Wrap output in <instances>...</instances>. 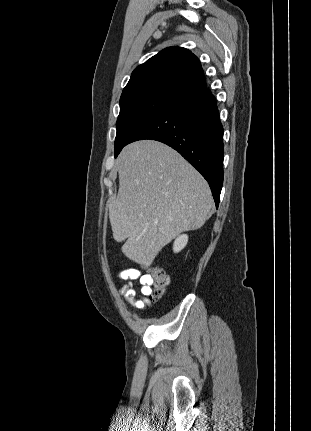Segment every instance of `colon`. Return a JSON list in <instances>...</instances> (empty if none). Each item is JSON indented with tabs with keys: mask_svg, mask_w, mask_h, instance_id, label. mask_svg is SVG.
<instances>
[{
	"mask_svg": "<svg viewBox=\"0 0 311 431\" xmlns=\"http://www.w3.org/2000/svg\"><path fill=\"white\" fill-rule=\"evenodd\" d=\"M150 277V299L157 301L163 297L166 292V288L169 284V278L162 268L152 266L149 268Z\"/></svg>",
	"mask_w": 311,
	"mask_h": 431,
	"instance_id": "5ec220e1",
	"label": "colon"
}]
</instances>
